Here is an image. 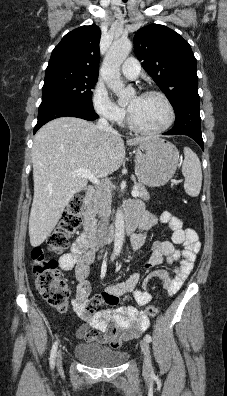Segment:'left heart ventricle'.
I'll use <instances>...</instances> for the list:
<instances>
[{"mask_svg": "<svg viewBox=\"0 0 227 396\" xmlns=\"http://www.w3.org/2000/svg\"><path fill=\"white\" fill-rule=\"evenodd\" d=\"M135 122L146 129L161 127L168 119L163 101L156 96H133L128 102Z\"/></svg>", "mask_w": 227, "mask_h": 396, "instance_id": "obj_1", "label": "left heart ventricle"}]
</instances>
